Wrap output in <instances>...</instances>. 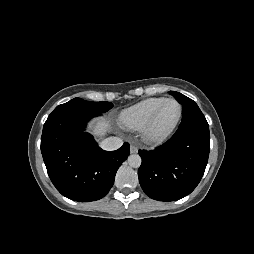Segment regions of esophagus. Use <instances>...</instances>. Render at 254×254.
Returning <instances> with one entry per match:
<instances>
[{
    "label": "esophagus",
    "mask_w": 254,
    "mask_h": 254,
    "mask_svg": "<svg viewBox=\"0 0 254 254\" xmlns=\"http://www.w3.org/2000/svg\"><path fill=\"white\" fill-rule=\"evenodd\" d=\"M137 152H138V147L135 146V145H131V146H130V153H131V154H135V153H137Z\"/></svg>",
    "instance_id": "obj_1"
}]
</instances>
